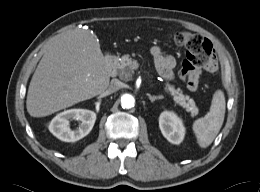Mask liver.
<instances>
[{
	"label": "liver",
	"instance_id": "1",
	"mask_svg": "<svg viewBox=\"0 0 260 192\" xmlns=\"http://www.w3.org/2000/svg\"><path fill=\"white\" fill-rule=\"evenodd\" d=\"M105 57L94 34L74 29L47 49L29 85L26 107L44 117L103 93L109 86Z\"/></svg>",
	"mask_w": 260,
	"mask_h": 192
}]
</instances>
